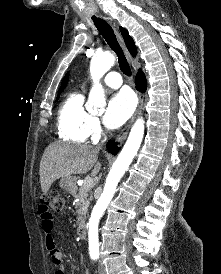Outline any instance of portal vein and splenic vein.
Returning <instances> with one entry per match:
<instances>
[{
    "label": "portal vein and splenic vein",
    "mask_w": 221,
    "mask_h": 274,
    "mask_svg": "<svg viewBox=\"0 0 221 274\" xmlns=\"http://www.w3.org/2000/svg\"><path fill=\"white\" fill-rule=\"evenodd\" d=\"M84 184L87 188H91L93 186V180L91 178H86Z\"/></svg>",
    "instance_id": "1"
}]
</instances>
